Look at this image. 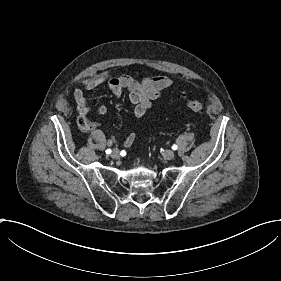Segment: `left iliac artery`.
Segmentation results:
<instances>
[{
  "instance_id": "obj_1",
  "label": "left iliac artery",
  "mask_w": 281,
  "mask_h": 281,
  "mask_svg": "<svg viewBox=\"0 0 281 281\" xmlns=\"http://www.w3.org/2000/svg\"><path fill=\"white\" fill-rule=\"evenodd\" d=\"M172 149H173V150H176V149H177V145L174 144V145L172 146Z\"/></svg>"
}]
</instances>
